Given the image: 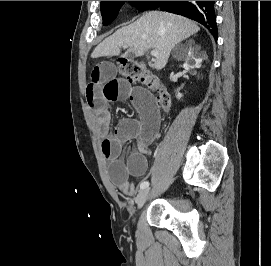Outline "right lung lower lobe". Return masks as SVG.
<instances>
[{
  "label": "right lung lower lobe",
  "instance_id": "1",
  "mask_svg": "<svg viewBox=\"0 0 271 266\" xmlns=\"http://www.w3.org/2000/svg\"><path fill=\"white\" fill-rule=\"evenodd\" d=\"M214 4L215 1H156L152 7L183 15L201 23L217 40L218 33Z\"/></svg>",
  "mask_w": 271,
  "mask_h": 266
}]
</instances>
